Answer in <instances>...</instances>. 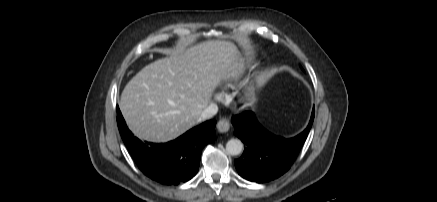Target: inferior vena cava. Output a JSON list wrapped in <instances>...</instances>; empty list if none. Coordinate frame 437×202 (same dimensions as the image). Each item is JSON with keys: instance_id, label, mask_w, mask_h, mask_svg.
<instances>
[{"instance_id": "602c4592", "label": "inferior vena cava", "mask_w": 437, "mask_h": 202, "mask_svg": "<svg viewBox=\"0 0 437 202\" xmlns=\"http://www.w3.org/2000/svg\"><path fill=\"white\" fill-rule=\"evenodd\" d=\"M217 112L218 106L215 103H210L200 113L199 122L213 117Z\"/></svg>"}]
</instances>
